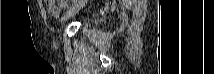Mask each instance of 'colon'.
<instances>
[{
    "instance_id": "5ec220e1",
    "label": "colon",
    "mask_w": 214,
    "mask_h": 74,
    "mask_svg": "<svg viewBox=\"0 0 214 74\" xmlns=\"http://www.w3.org/2000/svg\"><path fill=\"white\" fill-rule=\"evenodd\" d=\"M48 4H54V0H45ZM67 1L66 0H57V3L64 5Z\"/></svg>"
}]
</instances>
